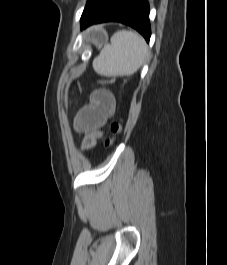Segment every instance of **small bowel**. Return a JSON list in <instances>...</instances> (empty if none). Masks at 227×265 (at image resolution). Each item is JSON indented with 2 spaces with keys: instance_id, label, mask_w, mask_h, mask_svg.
<instances>
[{
  "instance_id": "small-bowel-1",
  "label": "small bowel",
  "mask_w": 227,
  "mask_h": 265,
  "mask_svg": "<svg viewBox=\"0 0 227 265\" xmlns=\"http://www.w3.org/2000/svg\"><path fill=\"white\" fill-rule=\"evenodd\" d=\"M114 109L113 95L108 90H96L91 95L90 103L79 112L76 120L77 127L92 131L96 136H101L100 129L113 114Z\"/></svg>"
}]
</instances>
